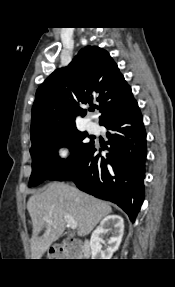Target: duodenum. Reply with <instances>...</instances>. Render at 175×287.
<instances>
[{"instance_id":"410a0bca","label":"duodenum","mask_w":175,"mask_h":287,"mask_svg":"<svg viewBox=\"0 0 175 287\" xmlns=\"http://www.w3.org/2000/svg\"><path fill=\"white\" fill-rule=\"evenodd\" d=\"M83 252H84V253H87L86 244H85L84 247H83ZM80 253H81V252H80ZM80 253H79V254H80Z\"/></svg>"}]
</instances>
